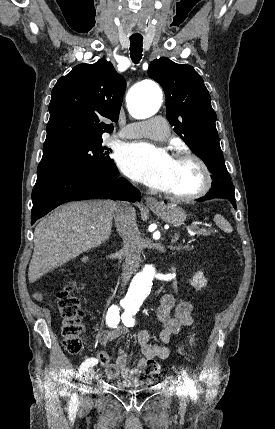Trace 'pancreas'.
<instances>
[{
    "mask_svg": "<svg viewBox=\"0 0 275 429\" xmlns=\"http://www.w3.org/2000/svg\"><path fill=\"white\" fill-rule=\"evenodd\" d=\"M198 236H209L210 235V231L207 229H198L196 231Z\"/></svg>",
    "mask_w": 275,
    "mask_h": 429,
    "instance_id": "pancreas-1",
    "label": "pancreas"
}]
</instances>
